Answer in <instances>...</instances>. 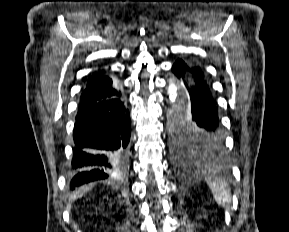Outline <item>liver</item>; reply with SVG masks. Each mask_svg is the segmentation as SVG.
Returning <instances> with one entry per match:
<instances>
[{
    "label": "liver",
    "mask_w": 289,
    "mask_h": 232,
    "mask_svg": "<svg viewBox=\"0 0 289 232\" xmlns=\"http://www.w3.org/2000/svg\"><path fill=\"white\" fill-rule=\"evenodd\" d=\"M93 187L92 184H88V185H84L82 187H80L75 193L73 198L76 199L77 197L82 196L83 194H85L87 191L91 190Z\"/></svg>",
    "instance_id": "6515ba94"
}]
</instances>
